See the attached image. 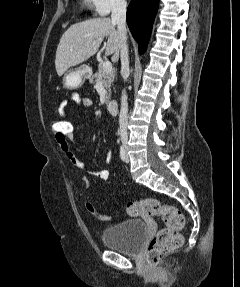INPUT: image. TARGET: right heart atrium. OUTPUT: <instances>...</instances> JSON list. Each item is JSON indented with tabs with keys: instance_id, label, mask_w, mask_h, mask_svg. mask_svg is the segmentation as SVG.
Returning <instances> with one entry per match:
<instances>
[{
	"instance_id": "right-heart-atrium-1",
	"label": "right heart atrium",
	"mask_w": 240,
	"mask_h": 287,
	"mask_svg": "<svg viewBox=\"0 0 240 287\" xmlns=\"http://www.w3.org/2000/svg\"><path fill=\"white\" fill-rule=\"evenodd\" d=\"M96 15L106 16L114 10L123 8L126 0H91Z\"/></svg>"
}]
</instances>
